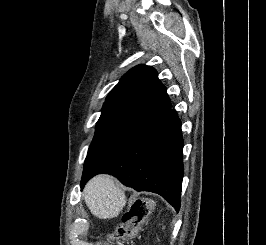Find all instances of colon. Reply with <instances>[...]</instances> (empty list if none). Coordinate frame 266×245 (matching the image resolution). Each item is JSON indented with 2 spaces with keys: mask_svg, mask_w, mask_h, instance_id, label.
<instances>
[{
  "mask_svg": "<svg viewBox=\"0 0 266 245\" xmlns=\"http://www.w3.org/2000/svg\"><path fill=\"white\" fill-rule=\"evenodd\" d=\"M152 202L147 198L135 200L123 213L115 230L107 235L111 245H134L133 239L140 231L152 210Z\"/></svg>",
  "mask_w": 266,
  "mask_h": 245,
  "instance_id": "1",
  "label": "colon"
}]
</instances>
